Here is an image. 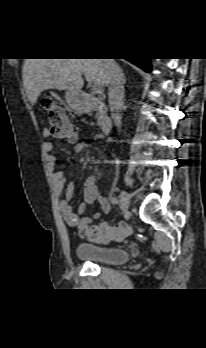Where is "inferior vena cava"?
<instances>
[{
    "instance_id": "obj_1",
    "label": "inferior vena cava",
    "mask_w": 206,
    "mask_h": 348,
    "mask_svg": "<svg viewBox=\"0 0 206 348\" xmlns=\"http://www.w3.org/2000/svg\"><path fill=\"white\" fill-rule=\"evenodd\" d=\"M107 70L108 102L111 117L117 127H121L122 105L124 103V82L122 70L114 59H104Z\"/></svg>"
}]
</instances>
